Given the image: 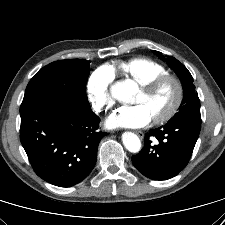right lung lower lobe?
Wrapping results in <instances>:
<instances>
[{"label": "right lung lower lobe", "mask_w": 225, "mask_h": 225, "mask_svg": "<svg viewBox=\"0 0 225 225\" xmlns=\"http://www.w3.org/2000/svg\"><path fill=\"white\" fill-rule=\"evenodd\" d=\"M20 140L35 173L43 180L70 187L83 181L97 160L99 117L92 110L49 99L23 101Z\"/></svg>", "instance_id": "obj_1"}]
</instances>
